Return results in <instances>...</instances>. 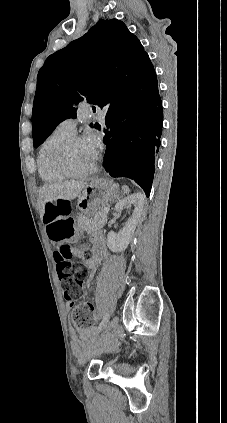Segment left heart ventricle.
Segmentation results:
<instances>
[{"instance_id":"1","label":"left heart ventricle","mask_w":227,"mask_h":423,"mask_svg":"<svg viewBox=\"0 0 227 423\" xmlns=\"http://www.w3.org/2000/svg\"><path fill=\"white\" fill-rule=\"evenodd\" d=\"M69 165L75 172H83L94 163V157L86 143H77L69 151Z\"/></svg>"}]
</instances>
